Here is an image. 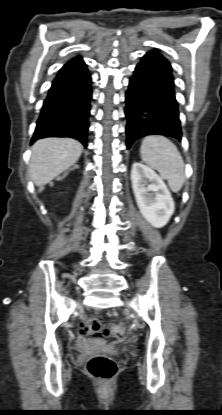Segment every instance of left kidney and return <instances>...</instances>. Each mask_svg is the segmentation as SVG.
Wrapping results in <instances>:
<instances>
[{"instance_id": "left-kidney-1", "label": "left kidney", "mask_w": 222, "mask_h": 415, "mask_svg": "<svg viewBox=\"0 0 222 415\" xmlns=\"http://www.w3.org/2000/svg\"><path fill=\"white\" fill-rule=\"evenodd\" d=\"M132 188L143 217L154 227L165 226L175 206L171 193L162 178L142 163H133Z\"/></svg>"}]
</instances>
